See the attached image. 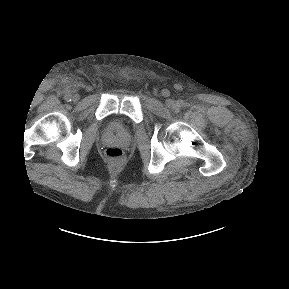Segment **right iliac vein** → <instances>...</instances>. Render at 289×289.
<instances>
[{
  "label": "right iliac vein",
  "instance_id": "obj_1",
  "mask_svg": "<svg viewBox=\"0 0 289 289\" xmlns=\"http://www.w3.org/2000/svg\"><path fill=\"white\" fill-rule=\"evenodd\" d=\"M79 98H80V96H79L78 94H75V95L72 97L73 101H77V100H79Z\"/></svg>",
  "mask_w": 289,
  "mask_h": 289
}]
</instances>
